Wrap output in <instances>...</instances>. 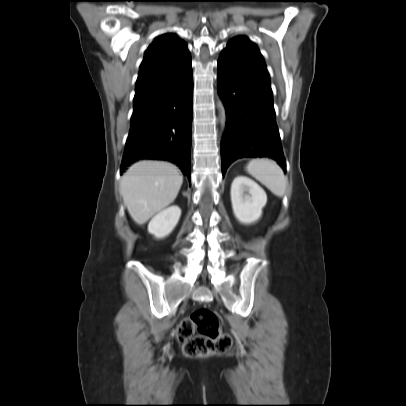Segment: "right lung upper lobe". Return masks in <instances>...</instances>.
<instances>
[{"mask_svg":"<svg viewBox=\"0 0 406 406\" xmlns=\"http://www.w3.org/2000/svg\"><path fill=\"white\" fill-rule=\"evenodd\" d=\"M190 68L192 59L183 40L171 33L157 37L141 63L134 98L169 84Z\"/></svg>","mask_w":406,"mask_h":406,"instance_id":"obj_1","label":"right lung upper lobe"}]
</instances>
